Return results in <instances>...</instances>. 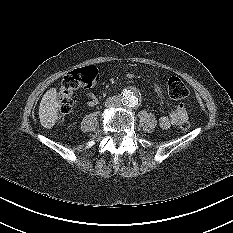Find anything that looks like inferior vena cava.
Returning <instances> with one entry per match:
<instances>
[{"label": "inferior vena cava", "mask_w": 233, "mask_h": 233, "mask_svg": "<svg viewBox=\"0 0 233 233\" xmlns=\"http://www.w3.org/2000/svg\"><path fill=\"white\" fill-rule=\"evenodd\" d=\"M106 106L107 107H115V108L121 107L122 106L121 99L118 96L110 97L106 101Z\"/></svg>", "instance_id": "602c4592"}]
</instances>
